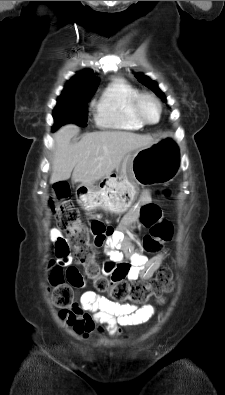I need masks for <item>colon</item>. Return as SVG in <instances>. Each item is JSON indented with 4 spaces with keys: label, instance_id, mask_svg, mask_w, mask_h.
Listing matches in <instances>:
<instances>
[{
    "label": "colon",
    "instance_id": "5ec220e1",
    "mask_svg": "<svg viewBox=\"0 0 225 395\" xmlns=\"http://www.w3.org/2000/svg\"><path fill=\"white\" fill-rule=\"evenodd\" d=\"M50 212L57 219L59 228L66 232L73 252L71 260L82 267V279L92 283L99 293H106L117 304L127 302L143 304L150 297L170 292L173 289L172 272L160 270L149 282L125 279H108L96 260V246L91 241L87 228L80 220L79 212L71 202L70 188L66 183L54 184L48 201ZM141 223L149 229L143 237L142 248L146 252H156L168 243L173 236V227L169 220L161 216V211L154 204H146L140 211ZM140 233L139 229L135 230ZM49 293L56 307L66 310L73 305L71 281H67L66 270H61L56 263H51L48 271Z\"/></svg>",
    "mask_w": 225,
    "mask_h": 395
}]
</instances>
